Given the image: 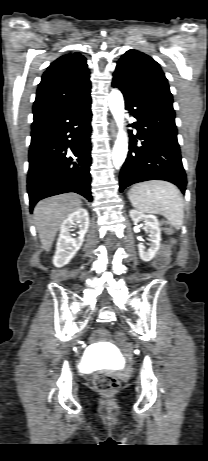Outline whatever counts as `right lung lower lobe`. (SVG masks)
<instances>
[{
	"label": "right lung lower lobe",
	"instance_id": "1",
	"mask_svg": "<svg viewBox=\"0 0 208 461\" xmlns=\"http://www.w3.org/2000/svg\"><path fill=\"white\" fill-rule=\"evenodd\" d=\"M91 97L32 123L27 191L30 211L41 199L67 192L91 196Z\"/></svg>",
	"mask_w": 208,
	"mask_h": 461
}]
</instances>
